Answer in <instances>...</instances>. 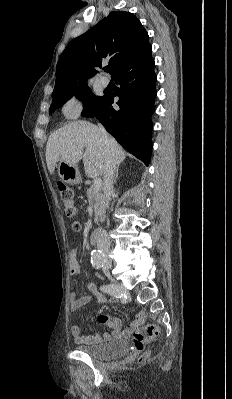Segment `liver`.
<instances>
[{
    "mask_svg": "<svg viewBox=\"0 0 232 399\" xmlns=\"http://www.w3.org/2000/svg\"><path fill=\"white\" fill-rule=\"evenodd\" d=\"M109 154H113L116 164L125 160L121 146L111 136L110 144H106L98 126L90 122H70L49 136L46 164L50 174H54L56 162L77 166L83 160L87 178H97L102 176Z\"/></svg>",
    "mask_w": 232,
    "mask_h": 399,
    "instance_id": "obj_1",
    "label": "liver"
}]
</instances>
